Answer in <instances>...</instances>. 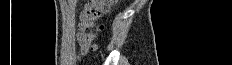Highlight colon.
I'll use <instances>...</instances> for the list:
<instances>
[{
  "label": "colon",
  "mask_w": 232,
  "mask_h": 65,
  "mask_svg": "<svg viewBox=\"0 0 232 65\" xmlns=\"http://www.w3.org/2000/svg\"><path fill=\"white\" fill-rule=\"evenodd\" d=\"M114 2L115 0H90L86 4L82 14V21L85 30H89L86 33L88 34L90 46H94L93 42L98 31V28H95V23L109 11Z\"/></svg>",
  "instance_id": "5ec220e1"
}]
</instances>
